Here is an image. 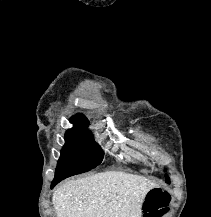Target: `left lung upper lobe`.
<instances>
[{"label":"left lung upper lobe","mask_w":211,"mask_h":217,"mask_svg":"<svg viewBox=\"0 0 211 217\" xmlns=\"http://www.w3.org/2000/svg\"><path fill=\"white\" fill-rule=\"evenodd\" d=\"M165 181H166V183H170V179L168 177L166 178Z\"/></svg>","instance_id":"obj_1"}]
</instances>
